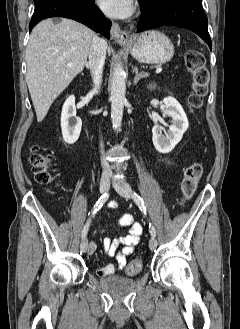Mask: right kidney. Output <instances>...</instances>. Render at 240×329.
I'll return each instance as SVG.
<instances>
[{"label": "right kidney", "instance_id": "right-kidney-1", "mask_svg": "<svg viewBox=\"0 0 240 329\" xmlns=\"http://www.w3.org/2000/svg\"><path fill=\"white\" fill-rule=\"evenodd\" d=\"M82 120L76 117L75 97L69 96L62 108L61 129L63 139L67 144L75 143L81 132Z\"/></svg>", "mask_w": 240, "mask_h": 329}]
</instances>
